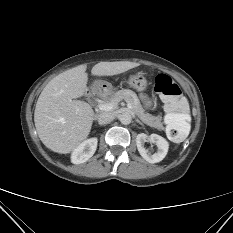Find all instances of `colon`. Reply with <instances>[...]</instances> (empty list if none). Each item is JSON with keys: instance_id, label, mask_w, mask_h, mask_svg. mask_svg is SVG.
I'll list each match as a JSON object with an SVG mask.
<instances>
[{"instance_id": "colon-1", "label": "colon", "mask_w": 233, "mask_h": 233, "mask_svg": "<svg viewBox=\"0 0 233 233\" xmlns=\"http://www.w3.org/2000/svg\"><path fill=\"white\" fill-rule=\"evenodd\" d=\"M154 89L165 101L167 135L174 141L182 140L189 131V109L179 86L166 74H158Z\"/></svg>"}]
</instances>
